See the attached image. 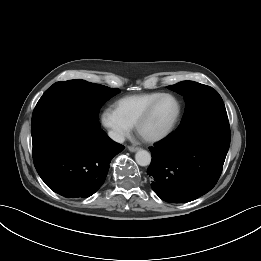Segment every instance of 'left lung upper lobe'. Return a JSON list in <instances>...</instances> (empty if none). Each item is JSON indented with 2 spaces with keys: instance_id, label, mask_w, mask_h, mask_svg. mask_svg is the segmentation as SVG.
<instances>
[{
  "instance_id": "5c2ea615",
  "label": "left lung upper lobe",
  "mask_w": 261,
  "mask_h": 261,
  "mask_svg": "<svg viewBox=\"0 0 261 261\" xmlns=\"http://www.w3.org/2000/svg\"><path fill=\"white\" fill-rule=\"evenodd\" d=\"M167 87L184 96L186 101L185 112L178 129L188 128L206 119L227 116L221 96L207 85L182 81Z\"/></svg>"
}]
</instances>
